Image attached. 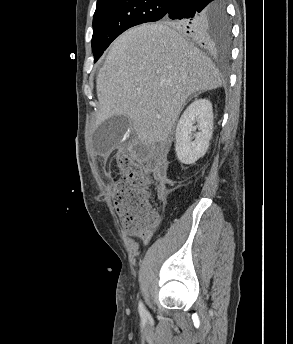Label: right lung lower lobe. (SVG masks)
I'll return each mask as SVG.
<instances>
[{
  "label": "right lung lower lobe",
  "mask_w": 293,
  "mask_h": 344,
  "mask_svg": "<svg viewBox=\"0 0 293 344\" xmlns=\"http://www.w3.org/2000/svg\"><path fill=\"white\" fill-rule=\"evenodd\" d=\"M218 0H174L167 20L181 21L182 30L194 41L209 45L206 19L215 10Z\"/></svg>",
  "instance_id": "right-lung-lower-lobe-1"
}]
</instances>
